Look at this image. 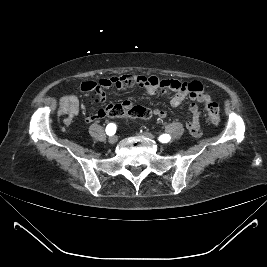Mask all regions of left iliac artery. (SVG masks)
<instances>
[{"mask_svg":"<svg viewBox=\"0 0 267 267\" xmlns=\"http://www.w3.org/2000/svg\"><path fill=\"white\" fill-rule=\"evenodd\" d=\"M158 140L162 143H167L170 141V136L168 134H163L158 138Z\"/></svg>","mask_w":267,"mask_h":267,"instance_id":"obj_1","label":"left iliac artery"}]
</instances>
